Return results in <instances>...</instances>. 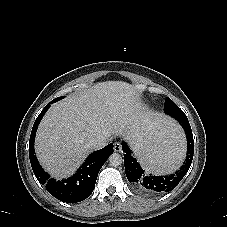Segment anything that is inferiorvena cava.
<instances>
[{
    "label": "inferior vena cava",
    "mask_w": 227,
    "mask_h": 227,
    "mask_svg": "<svg viewBox=\"0 0 227 227\" xmlns=\"http://www.w3.org/2000/svg\"><path fill=\"white\" fill-rule=\"evenodd\" d=\"M106 144H107V136L99 135V136L91 138L89 140V142L87 143V146L91 150H98V149L105 147Z\"/></svg>",
    "instance_id": "1"
}]
</instances>
